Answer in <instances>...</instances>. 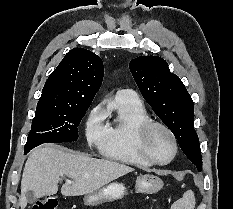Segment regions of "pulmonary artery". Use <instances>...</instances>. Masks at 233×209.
<instances>
[{"instance_id":"obj_1","label":"pulmonary artery","mask_w":233,"mask_h":209,"mask_svg":"<svg viewBox=\"0 0 233 209\" xmlns=\"http://www.w3.org/2000/svg\"><path fill=\"white\" fill-rule=\"evenodd\" d=\"M118 92L119 93H125V94H127L128 96H130V97H132L134 99H138L137 95L131 90H120Z\"/></svg>"}]
</instances>
